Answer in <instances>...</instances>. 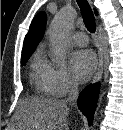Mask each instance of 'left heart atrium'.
Instances as JSON below:
<instances>
[{"mask_svg":"<svg viewBox=\"0 0 123 130\" xmlns=\"http://www.w3.org/2000/svg\"><path fill=\"white\" fill-rule=\"evenodd\" d=\"M96 57L91 50L75 51L70 58V68L78 81H86L96 68Z\"/></svg>","mask_w":123,"mask_h":130,"instance_id":"39dd6f15","label":"left heart atrium"}]
</instances>
